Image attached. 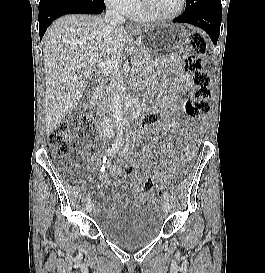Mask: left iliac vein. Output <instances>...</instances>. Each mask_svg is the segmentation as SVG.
<instances>
[{"mask_svg": "<svg viewBox=\"0 0 265 273\" xmlns=\"http://www.w3.org/2000/svg\"><path fill=\"white\" fill-rule=\"evenodd\" d=\"M170 210H171V204H170L169 200L165 199L164 202H163V211L166 214H168L170 212Z\"/></svg>", "mask_w": 265, "mask_h": 273, "instance_id": "obj_1", "label": "left iliac vein"}]
</instances>
